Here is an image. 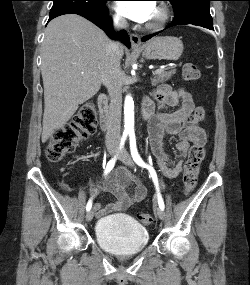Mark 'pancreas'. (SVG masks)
<instances>
[{"instance_id": "pancreas-1", "label": "pancreas", "mask_w": 250, "mask_h": 285, "mask_svg": "<svg viewBox=\"0 0 250 285\" xmlns=\"http://www.w3.org/2000/svg\"><path fill=\"white\" fill-rule=\"evenodd\" d=\"M176 73V70H170V71H162L159 74H155L154 77L151 79V83L153 86H156L160 83H164L171 79V77Z\"/></svg>"}]
</instances>
